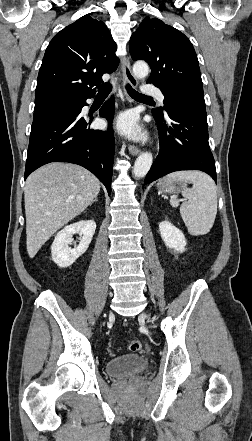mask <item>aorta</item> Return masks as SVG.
I'll return each instance as SVG.
<instances>
[{"instance_id": "aorta-1", "label": "aorta", "mask_w": 252, "mask_h": 441, "mask_svg": "<svg viewBox=\"0 0 252 441\" xmlns=\"http://www.w3.org/2000/svg\"><path fill=\"white\" fill-rule=\"evenodd\" d=\"M133 73L138 79L145 78L149 73V67L147 63L143 61H137L133 65ZM153 162L152 154L149 152L141 153L138 158L135 161L134 168H133V174L136 178H142L144 177Z\"/></svg>"}]
</instances>
